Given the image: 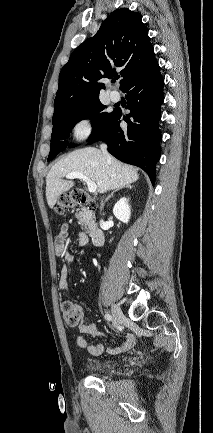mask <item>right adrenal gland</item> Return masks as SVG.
I'll return each instance as SVG.
<instances>
[{
  "label": "right adrenal gland",
  "mask_w": 213,
  "mask_h": 433,
  "mask_svg": "<svg viewBox=\"0 0 213 433\" xmlns=\"http://www.w3.org/2000/svg\"><path fill=\"white\" fill-rule=\"evenodd\" d=\"M123 188L131 189L132 186L129 184V185H126V186H123V187H120V188L116 189L115 191H113V192H112V193H111V194L106 198V201L110 200V199L113 197L114 193L118 192L119 190H121V189H123Z\"/></svg>",
  "instance_id": "1"
}]
</instances>
